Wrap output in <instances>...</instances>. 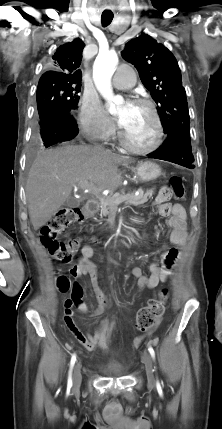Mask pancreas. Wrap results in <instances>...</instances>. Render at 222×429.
<instances>
[{
    "label": "pancreas",
    "instance_id": "obj_1",
    "mask_svg": "<svg viewBox=\"0 0 222 429\" xmlns=\"http://www.w3.org/2000/svg\"><path fill=\"white\" fill-rule=\"evenodd\" d=\"M153 189L148 190L146 193L142 189L139 190V194L135 195L134 193H121L119 195L114 196H103L100 199L101 202V213L103 216L113 217L118 209L117 199L122 196H128L129 198L126 201L127 204L133 206L143 205L148 201L150 197L153 195Z\"/></svg>",
    "mask_w": 222,
    "mask_h": 429
}]
</instances>
